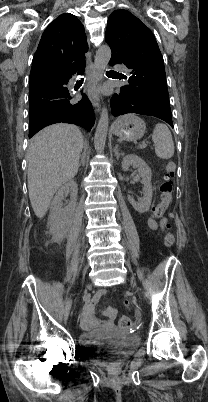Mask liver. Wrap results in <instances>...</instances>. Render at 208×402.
<instances>
[{
  "mask_svg": "<svg viewBox=\"0 0 208 402\" xmlns=\"http://www.w3.org/2000/svg\"><path fill=\"white\" fill-rule=\"evenodd\" d=\"M83 136L71 124H53L38 132L28 148V192L37 218H44L60 186L79 168Z\"/></svg>",
  "mask_w": 208,
  "mask_h": 402,
  "instance_id": "liver-1",
  "label": "liver"
}]
</instances>
